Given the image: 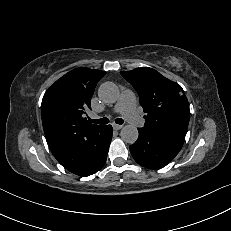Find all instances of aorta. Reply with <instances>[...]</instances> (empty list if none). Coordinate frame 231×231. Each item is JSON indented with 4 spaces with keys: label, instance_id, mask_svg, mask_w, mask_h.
<instances>
[{
    "label": "aorta",
    "instance_id": "aorta-1",
    "mask_svg": "<svg viewBox=\"0 0 231 231\" xmlns=\"http://www.w3.org/2000/svg\"><path fill=\"white\" fill-rule=\"evenodd\" d=\"M98 96L106 103H114L118 99L119 91L113 82H104L98 89ZM120 136L124 142L133 144L138 139L139 133L135 126L125 125L120 131Z\"/></svg>",
    "mask_w": 231,
    "mask_h": 231
}]
</instances>
